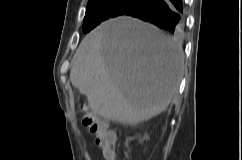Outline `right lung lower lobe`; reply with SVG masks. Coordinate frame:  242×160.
<instances>
[{"label": "right lung lower lobe", "instance_id": "1", "mask_svg": "<svg viewBox=\"0 0 242 160\" xmlns=\"http://www.w3.org/2000/svg\"><path fill=\"white\" fill-rule=\"evenodd\" d=\"M124 15L133 16L181 35L184 28L182 0H143Z\"/></svg>", "mask_w": 242, "mask_h": 160}]
</instances>
